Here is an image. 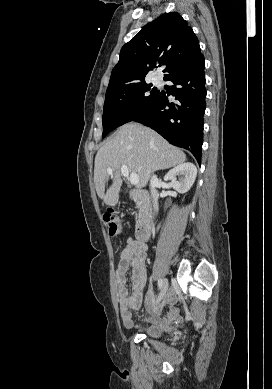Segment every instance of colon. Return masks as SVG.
<instances>
[{"label": "colon", "mask_w": 272, "mask_h": 389, "mask_svg": "<svg viewBox=\"0 0 272 389\" xmlns=\"http://www.w3.org/2000/svg\"><path fill=\"white\" fill-rule=\"evenodd\" d=\"M103 219L110 236H116L121 228V222L117 214L114 211H109Z\"/></svg>", "instance_id": "1"}]
</instances>
